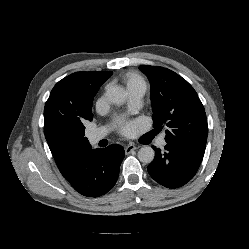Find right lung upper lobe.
I'll use <instances>...</instances> for the list:
<instances>
[{
    "instance_id": "1",
    "label": "right lung upper lobe",
    "mask_w": 249,
    "mask_h": 249,
    "mask_svg": "<svg viewBox=\"0 0 249 249\" xmlns=\"http://www.w3.org/2000/svg\"><path fill=\"white\" fill-rule=\"evenodd\" d=\"M111 75V71L76 72L52 89L44 108V129L60 171L66 169L75 152L91 148L83 123L92 120L93 98Z\"/></svg>"
}]
</instances>
